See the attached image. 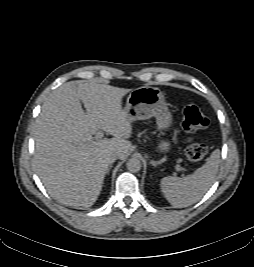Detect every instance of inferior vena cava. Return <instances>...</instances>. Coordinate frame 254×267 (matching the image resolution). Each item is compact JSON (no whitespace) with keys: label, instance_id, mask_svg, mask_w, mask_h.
Segmentation results:
<instances>
[{"label":"inferior vena cava","instance_id":"inferior-vena-cava-1","mask_svg":"<svg viewBox=\"0 0 254 267\" xmlns=\"http://www.w3.org/2000/svg\"><path fill=\"white\" fill-rule=\"evenodd\" d=\"M119 158V155L117 153H114L110 157V162L113 163L115 160Z\"/></svg>","mask_w":254,"mask_h":267}]
</instances>
